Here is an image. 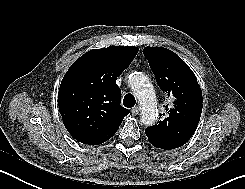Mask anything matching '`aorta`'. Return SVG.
<instances>
[{
	"label": "aorta",
	"mask_w": 245,
	"mask_h": 189,
	"mask_svg": "<svg viewBox=\"0 0 245 189\" xmlns=\"http://www.w3.org/2000/svg\"><path fill=\"white\" fill-rule=\"evenodd\" d=\"M128 82L141 106V122L147 126L153 125L157 119V104L155 91L148 76L142 72H133Z\"/></svg>",
	"instance_id": "obj_1"
}]
</instances>
